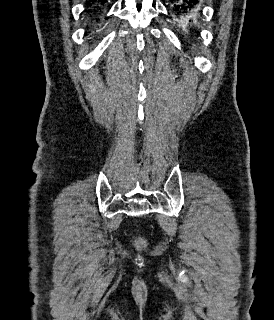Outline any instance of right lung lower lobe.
Masks as SVG:
<instances>
[{
    "label": "right lung lower lobe",
    "instance_id": "right-lung-lower-lobe-1",
    "mask_svg": "<svg viewBox=\"0 0 274 320\" xmlns=\"http://www.w3.org/2000/svg\"><path fill=\"white\" fill-rule=\"evenodd\" d=\"M107 0H88L85 13L91 20L99 21V16L104 13Z\"/></svg>",
    "mask_w": 274,
    "mask_h": 320
}]
</instances>
